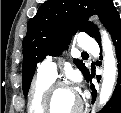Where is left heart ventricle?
Wrapping results in <instances>:
<instances>
[{
  "mask_svg": "<svg viewBox=\"0 0 121 113\" xmlns=\"http://www.w3.org/2000/svg\"><path fill=\"white\" fill-rule=\"evenodd\" d=\"M78 105V96L70 88H62L54 94L53 111L57 113H65L74 110Z\"/></svg>",
  "mask_w": 121,
  "mask_h": 113,
  "instance_id": "b2bd125f",
  "label": "left heart ventricle"
}]
</instances>
